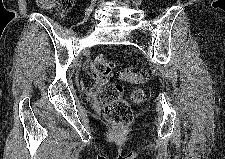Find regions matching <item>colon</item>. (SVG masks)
I'll return each mask as SVG.
<instances>
[{"label": "colon", "instance_id": "obj_1", "mask_svg": "<svg viewBox=\"0 0 225 159\" xmlns=\"http://www.w3.org/2000/svg\"><path fill=\"white\" fill-rule=\"evenodd\" d=\"M44 8L56 9L60 14L68 12L73 4V0H39ZM115 64L107 58L98 55L92 62V71L98 80H106L112 74ZM119 79L133 84H143L148 80V73L137 72L131 68H126L119 72ZM144 91L137 89L132 93V102L140 104L144 100ZM100 99L103 107L105 119L115 126H124L131 122L133 113L130 105L123 98V88L119 84L106 85Z\"/></svg>", "mask_w": 225, "mask_h": 159}]
</instances>
